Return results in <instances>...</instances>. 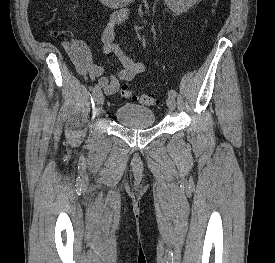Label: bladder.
Masks as SVG:
<instances>
[{
    "instance_id": "obj_1",
    "label": "bladder",
    "mask_w": 275,
    "mask_h": 263,
    "mask_svg": "<svg viewBox=\"0 0 275 263\" xmlns=\"http://www.w3.org/2000/svg\"><path fill=\"white\" fill-rule=\"evenodd\" d=\"M114 115L119 124L135 129L150 127L155 121L152 109L132 104L118 107Z\"/></svg>"
}]
</instances>
